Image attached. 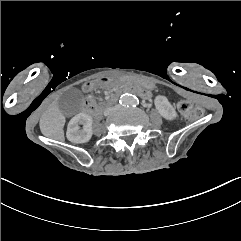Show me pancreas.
I'll return each mask as SVG.
<instances>
[{"instance_id":"obj_1","label":"pancreas","mask_w":241,"mask_h":241,"mask_svg":"<svg viewBox=\"0 0 241 241\" xmlns=\"http://www.w3.org/2000/svg\"><path fill=\"white\" fill-rule=\"evenodd\" d=\"M89 99H90V100H93L94 98H93V97H90ZM102 107L104 108V106H102Z\"/></svg>"}]
</instances>
